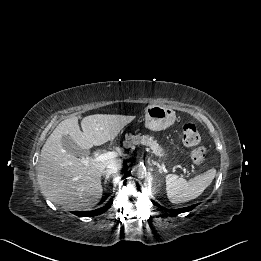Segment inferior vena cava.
<instances>
[{"instance_id": "1", "label": "inferior vena cava", "mask_w": 261, "mask_h": 261, "mask_svg": "<svg viewBox=\"0 0 261 261\" xmlns=\"http://www.w3.org/2000/svg\"><path fill=\"white\" fill-rule=\"evenodd\" d=\"M106 167L108 173H117L122 168V161L120 159H114L110 161Z\"/></svg>"}]
</instances>
